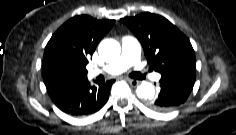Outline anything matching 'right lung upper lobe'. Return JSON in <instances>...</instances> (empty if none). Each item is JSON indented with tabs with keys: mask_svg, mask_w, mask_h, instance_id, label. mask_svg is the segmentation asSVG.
Instances as JSON below:
<instances>
[{
	"mask_svg": "<svg viewBox=\"0 0 236 135\" xmlns=\"http://www.w3.org/2000/svg\"><path fill=\"white\" fill-rule=\"evenodd\" d=\"M115 20H97L79 15L65 22L47 43L43 56V69L55 60L66 61L80 71H87L88 58L98 42L109 32Z\"/></svg>",
	"mask_w": 236,
	"mask_h": 135,
	"instance_id": "obj_1",
	"label": "right lung upper lobe"
}]
</instances>
